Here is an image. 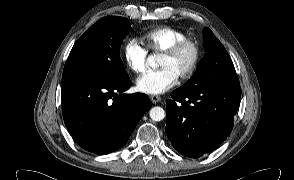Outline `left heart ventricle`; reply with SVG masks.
<instances>
[{"label": "left heart ventricle", "mask_w": 294, "mask_h": 180, "mask_svg": "<svg viewBox=\"0 0 294 180\" xmlns=\"http://www.w3.org/2000/svg\"><path fill=\"white\" fill-rule=\"evenodd\" d=\"M192 60V50L190 48L183 49L175 57L162 55L159 61V67L169 68L178 77L184 73L189 67Z\"/></svg>", "instance_id": "left-heart-ventricle-1"}]
</instances>
